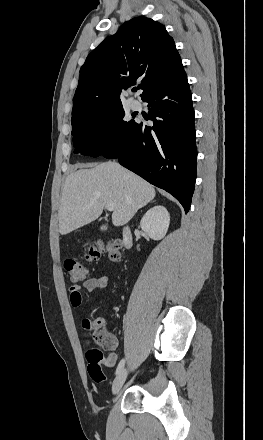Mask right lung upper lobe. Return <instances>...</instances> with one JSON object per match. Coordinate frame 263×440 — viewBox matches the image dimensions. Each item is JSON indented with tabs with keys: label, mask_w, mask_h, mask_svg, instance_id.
I'll return each mask as SVG.
<instances>
[{
	"label": "right lung upper lobe",
	"mask_w": 263,
	"mask_h": 440,
	"mask_svg": "<svg viewBox=\"0 0 263 440\" xmlns=\"http://www.w3.org/2000/svg\"><path fill=\"white\" fill-rule=\"evenodd\" d=\"M182 71L179 53L164 25L146 17L133 18L88 55L80 69L72 119L121 106V92L138 78L143 98Z\"/></svg>",
	"instance_id": "obj_1"
}]
</instances>
